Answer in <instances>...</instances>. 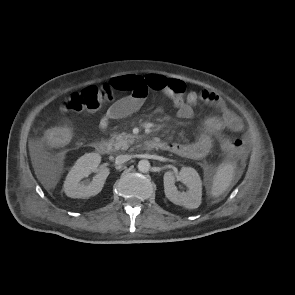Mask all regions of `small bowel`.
<instances>
[{
	"label": "small bowel",
	"mask_w": 295,
	"mask_h": 295,
	"mask_svg": "<svg viewBox=\"0 0 295 295\" xmlns=\"http://www.w3.org/2000/svg\"><path fill=\"white\" fill-rule=\"evenodd\" d=\"M115 90L127 91L129 95L112 103L99 120V128L105 131L110 121L127 117L138 111L145 102L150 90L164 93L170 98L176 114L180 119H189L193 115V107L203 100L220 111L219 117L209 118L201 135L193 142H163V150L190 159H201L208 155L214 144V138L223 130L239 132L243 128L242 120L214 92L187 91L182 80L171 79L159 74L146 76L129 75L107 81Z\"/></svg>",
	"instance_id": "1"
}]
</instances>
